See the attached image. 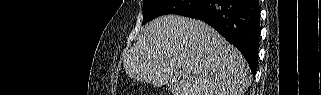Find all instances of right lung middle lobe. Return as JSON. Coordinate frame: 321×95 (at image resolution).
Segmentation results:
<instances>
[{"label": "right lung middle lobe", "mask_w": 321, "mask_h": 95, "mask_svg": "<svg viewBox=\"0 0 321 95\" xmlns=\"http://www.w3.org/2000/svg\"><path fill=\"white\" fill-rule=\"evenodd\" d=\"M207 0H144L143 24L166 14L187 16L195 13Z\"/></svg>", "instance_id": "1"}]
</instances>
